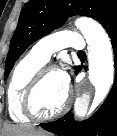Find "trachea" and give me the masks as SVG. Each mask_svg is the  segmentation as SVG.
Listing matches in <instances>:
<instances>
[{"label": "trachea", "mask_w": 117, "mask_h": 136, "mask_svg": "<svg viewBox=\"0 0 117 136\" xmlns=\"http://www.w3.org/2000/svg\"><path fill=\"white\" fill-rule=\"evenodd\" d=\"M78 54H85V52L84 51H79Z\"/></svg>", "instance_id": "obj_1"}]
</instances>
